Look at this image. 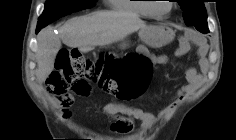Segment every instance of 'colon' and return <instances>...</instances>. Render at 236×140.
Segmentation results:
<instances>
[{
  "instance_id": "1",
  "label": "colon",
  "mask_w": 236,
  "mask_h": 140,
  "mask_svg": "<svg viewBox=\"0 0 236 140\" xmlns=\"http://www.w3.org/2000/svg\"><path fill=\"white\" fill-rule=\"evenodd\" d=\"M151 74L152 64L144 56L103 54L92 60L77 49H62L55 71L47 80V91L55 100L64 103L74 96L88 95L91 81L99 83L120 100H131L145 92Z\"/></svg>"
}]
</instances>
